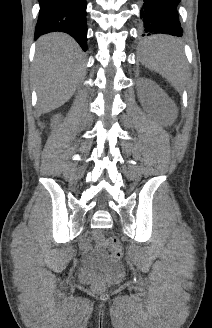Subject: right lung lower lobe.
<instances>
[{
    "mask_svg": "<svg viewBox=\"0 0 212 328\" xmlns=\"http://www.w3.org/2000/svg\"><path fill=\"white\" fill-rule=\"evenodd\" d=\"M40 11L35 39L61 31L70 34L87 50L86 0H39Z\"/></svg>",
    "mask_w": 212,
    "mask_h": 328,
    "instance_id": "obj_1",
    "label": "right lung lower lobe"
}]
</instances>
